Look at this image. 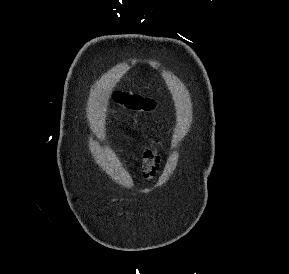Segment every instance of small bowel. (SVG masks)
<instances>
[{"mask_svg": "<svg viewBox=\"0 0 289 274\" xmlns=\"http://www.w3.org/2000/svg\"><path fill=\"white\" fill-rule=\"evenodd\" d=\"M162 156L159 143L152 140L145 144L142 149V174L146 180H151L160 171Z\"/></svg>", "mask_w": 289, "mask_h": 274, "instance_id": "obj_1", "label": "small bowel"}]
</instances>
